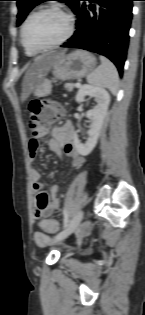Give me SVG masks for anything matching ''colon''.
<instances>
[{
  "instance_id": "1",
  "label": "colon",
  "mask_w": 145,
  "mask_h": 315,
  "mask_svg": "<svg viewBox=\"0 0 145 315\" xmlns=\"http://www.w3.org/2000/svg\"><path fill=\"white\" fill-rule=\"evenodd\" d=\"M28 127L35 132L46 125L53 123L61 114L58 105L42 100H34L29 105ZM42 228L49 233H56L59 230V222L47 219L42 222Z\"/></svg>"
}]
</instances>
